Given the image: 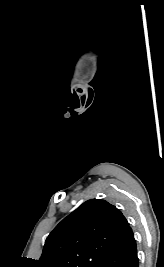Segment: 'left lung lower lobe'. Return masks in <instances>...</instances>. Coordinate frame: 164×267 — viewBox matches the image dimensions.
Masks as SVG:
<instances>
[{"label":"left lung lower lobe","instance_id":"left-lung-lower-lobe-1","mask_svg":"<svg viewBox=\"0 0 164 267\" xmlns=\"http://www.w3.org/2000/svg\"><path fill=\"white\" fill-rule=\"evenodd\" d=\"M136 241L128 225L99 267H138Z\"/></svg>","mask_w":164,"mask_h":267}]
</instances>
